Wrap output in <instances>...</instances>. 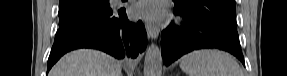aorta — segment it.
<instances>
[{
  "instance_id": "obj_1",
  "label": "aorta",
  "mask_w": 287,
  "mask_h": 76,
  "mask_svg": "<svg viewBox=\"0 0 287 76\" xmlns=\"http://www.w3.org/2000/svg\"><path fill=\"white\" fill-rule=\"evenodd\" d=\"M162 75V56L159 47L152 43L146 50L144 76Z\"/></svg>"
}]
</instances>
